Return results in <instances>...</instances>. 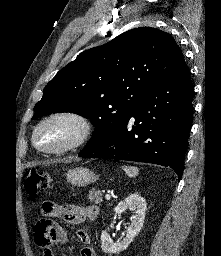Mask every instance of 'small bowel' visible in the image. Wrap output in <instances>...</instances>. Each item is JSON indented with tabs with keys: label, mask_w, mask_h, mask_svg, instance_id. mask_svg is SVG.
<instances>
[{
	"label": "small bowel",
	"mask_w": 221,
	"mask_h": 256,
	"mask_svg": "<svg viewBox=\"0 0 221 256\" xmlns=\"http://www.w3.org/2000/svg\"><path fill=\"white\" fill-rule=\"evenodd\" d=\"M43 218L40 219L34 230L35 243L41 248L43 256H54L53 246L65 244L66 231L53 217L62 218L69 225H76L85 220L93 221L97 218L98 207L95 205H60L53 202L42 204ZM77 237L84 244L80 256H97L93 247L90 246V237L85 230H78Z\"/></svg>",
	"instance_id": "1"
}]
</instances>
